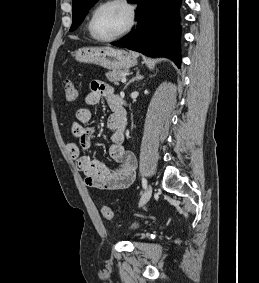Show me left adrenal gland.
Listing matches in <instances>:
<instances>
[{"label": "left adrenal gland", "mask_w": 259, "mask_h": 283, "mask_svg": "<svg viewBox=\"0 0 259 283\" xmlns=\"http://www.w3.org/2000/svg\"><path fill=\"white\" fill-rule=\"evenodd\" d=\"M141 79H143V76L140 75V71L138 70V71L136 72V76L133 77L132 79H130V80L125 84L124 89H126L132 82L138 81V80H141Z\"/></svg>", "instance_id": "obj_1"}]
</instances>
